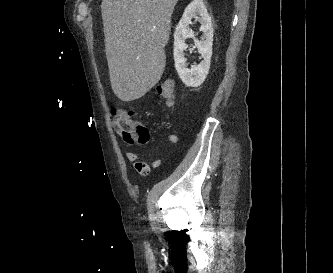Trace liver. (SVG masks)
<instances>
[{
  "label": "liver",
  "instance_id": "liver-1",
  "mask_svg": "<svg viewBox=\"0 0 333 273\" xmlns=\"http://www.w3.org/2000/svg\"><path fill=\"white\" fill-rule=\"evenodd\" d=\"M178 0H102L111 87L122 101L144 96L165 70L164 48Z\"/></svg>",
  "mask_w": 333,
  "mask_h": 273
}]
</instances>
